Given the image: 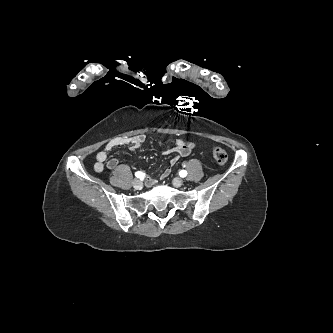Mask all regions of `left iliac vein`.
Here are the masks:
<instances>
[{"label":"left iliac vein","instance_id":"1","mask_svg":"<svg viewBox=\"0 0 333 333\" xmlns=\"http://www.w3.org/2000/svg\"><path fill=\"white\" fill-rule=\"evenodd\" d=\"M172 183L175 187H180L183 185V180L181 178H174Z\"/></svg>","mask_w":333,"mask_h":333}]
</instances>
